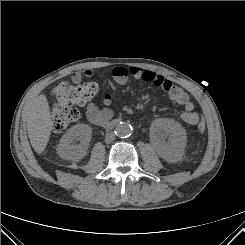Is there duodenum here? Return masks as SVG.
I'll list each match as a JSON object with an SVG mask.
<instances>
[{
	"instance_id": "obj_1",
	"label": "duodenum",
	"mask_w": 245,
	"mask_h": 245,
	"mask_svg": "<svg viewBox=\"0 0 245 245\" xmlns=\"http://www.w3.org/2000/svg\"><path fill=\"white\" fill-rule=\"evenodd\" d=\"M118 124V120H114V121H108L106 123H104V127L106 128H113Z\"/></svg>"
}]
</instances>
